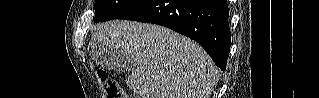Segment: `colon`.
I'll return each mask as SVG.
<instances>
[{"mask_svg":"<svg viewBox=\"0 0 319 98\" xmlns=\"http://www.w3.org/2000/svg\"><path fill=\"white\" fill-rule=\"evenodd\" d=\"M99 77L104 85L106 98H129L128 94L124 92L118 82L108 77L105 72H99Z\"/></svg>","mask_w":319,"mask_h":98,"instance_id":"1","label":"colon"}]
</instances>
